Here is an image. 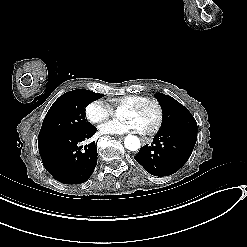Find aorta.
Returning <instances> with one entry per match:
<instances>
[{
	"label": "aorta",
	"mask_w": 247,
	"mask_h": 247,
	"mask_svg": "<svg viewBox=\"0 0 247 247\" xmlns=\"http://www.w3.org/2000/svg\"><path fill=\"white\" fill-rule=\"evenodd\" d=\"M126 108L120 106L116 110V116L118 119L122 120L125 114ZM125 147L130 151H137L140 148V140L137 136L128 135L124 140Z\"/></svg>",
	"instance_id": "762f6f07"
}]
</instances>
